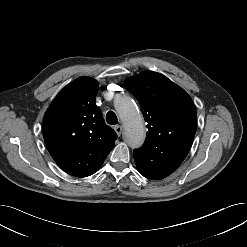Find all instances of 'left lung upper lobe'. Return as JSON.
<instances>
[{"instance_id": "5c2ea615", "label": "left lung upper lobe", "mask_w": 247, "mask_h": 247, "mask_svg": "<svg viewBox=\"0 0 247 247\" xmlns=\"http://www.w3.org/2000/svg\"><path fill=\"white\" fill-rule=\"evenodd\" d=\"M125 87L139 101L148 123L145 143L134 150V159L182 163L197 128V114L191 97L167 77L152 71L128 78Z\"/></svg>"}]
</instances>
